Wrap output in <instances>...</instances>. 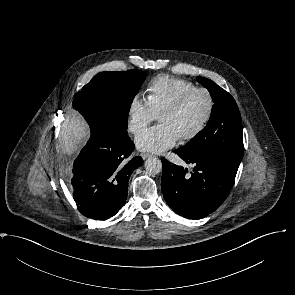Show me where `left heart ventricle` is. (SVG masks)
Returning <instances> with one entry per match:
<instances>
[{
    "mask_svg": "<svg viewBox=\"0 0 295 295\" xmlns=\"http://www.w3.org/2000/svg\"><path fill=\"white\" fill-rule=\"evenodd\" d=\"M208 103L203 93H195L178 113L160 117L161 124L170 126L180 136L193 131L204 118Z\"/></svg>",
    "mask_w": 295,
    "mask_h": 295,
    "instance_id": "left-heart-ventricle-1",
    "label": "left heart ventricle"
}]
</instances>
